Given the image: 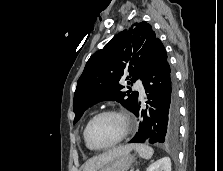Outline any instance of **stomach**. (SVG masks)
<instances>
[{"label":"stomach","instance_id":"stomach-1","mask_svg":"<svg viewBox=\"0 0 223 171\" xmlns=\"http://www.w3.org/2000/svg\"><path fill=\"white\" fill-rule=\"evenodd\" d=\"M133 162L134 157L132 155L123 154L102 166L98 171H128Z\"/></svg>","mask_w":223,"mask_h":171}]
</instances>
